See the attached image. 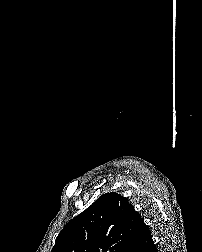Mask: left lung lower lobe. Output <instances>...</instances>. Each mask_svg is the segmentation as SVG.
<instances>
[{
    "label": "left lung lower lobe",
    "mask_w": 202,
    "mask_h": 252,
    "mask_svg": "<svg viewBox=\"0 0 202 252\" xmlns=\"http://www.w3.org/2000/svg\"><path fill=\"white\" fill-rule=\"evenodd\" d=\"M132 252H158L151 232L143 220L138 224Z\"/></svg>",
    "instance_id": "left-lung-lower-lobe-1"
}]
</instances>
